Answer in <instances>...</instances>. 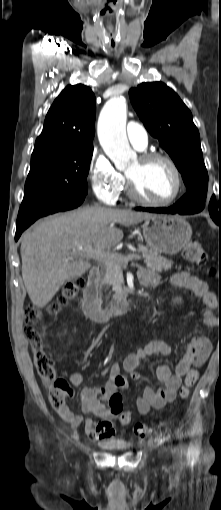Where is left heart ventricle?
I'll list each match as a JSON object with an SVG mask.
<instances>
[{"label": "left heart ventricle", "instance_id": "left-heart-ventricle-1", "mask_svg": "<svg viewBox=\"0 0 221 510\" xmlns=\"http://www.w3.org/2000/svg\"><path fill=\"white\" fill-rule=\"evenodd\" d=\"M127 175L135 182L140 195L149 200H166L175 190L174 174L162 160L142 163L137 159Z\"/></svg>", "mask_w": 221, "mask_h": 510}]
</instances>
